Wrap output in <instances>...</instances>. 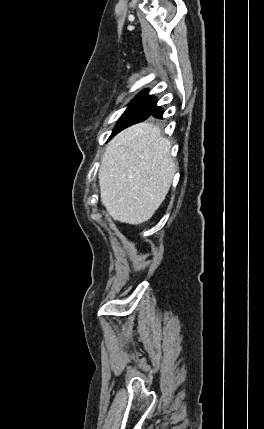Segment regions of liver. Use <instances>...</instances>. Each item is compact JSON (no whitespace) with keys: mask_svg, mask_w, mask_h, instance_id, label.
Masks as SVG:
<instances>
[{"mask_svg":"<svg viewBox=\"0 0 264 429\" xmlns=\"http://www.w3.org/2000/svg\"><path fill=\"white\" fill-rule=\"evenodd\" d=\"M171 142L148 122L133 125L107 145L99 169L100 198L116 221H148L164 201L176 164Z\"/></svg>","mask_w":264,"mask_h":429,"instance_id":"6515ba94","label":"liver"}]
</instances>
